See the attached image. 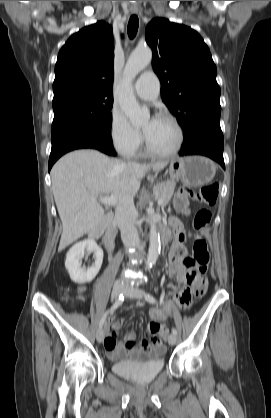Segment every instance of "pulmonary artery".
Wrapping results in <instances>:
<instances>
[{"label":"pulmonary artery","mask_w":271,"mask_h":418,"mask_svg":"<svg viewBox=\"0 0 271 418\" xmlns=\"http://www.w3.org/2000/svg\"><path fill=\"white\" fill-rule=\"evenodd\" d=\"M134 90L142 99H156L160 90L158 77L152 71L142 73L134 84Z\"/></svg>","instance_id":"1"}]
</instances>
